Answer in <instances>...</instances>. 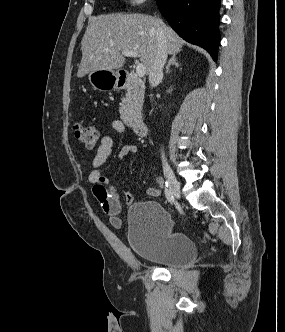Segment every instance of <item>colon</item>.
<instances>
[{
  "label": "colon",
  "instance_id": "5ec220e1",
  "mask_svg": "<svg viewBox=\"0 0 285 332\" xmlns=\"http://www.w3.org/2000/svg\"><path fill=\"white\" fill-rule=\"evenodd\" d=\"M73 130L78 141L87 148H93L100 137L98 130L90 125L76 123Z\"/></svg>",
  "mask_w": 285,
  "mask_h": 332
}]
</instances>
